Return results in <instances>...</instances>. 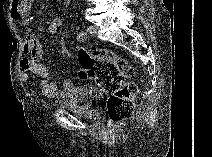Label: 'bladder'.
<instances>
[{"instance_id":"bladder-1","label":"bladder","mask_w":212,"mask_h":157,"mask_svg":"<svg viewBox=\"0 0 212 157\" xmlns=\"http://www.w3.org/2000/svg\"><path fill=\"white\" fill-rule=\"evenodd\" d=\"M104 96V92L95 86H78L60 97L56 107L72 110L88 120H97L100 116L98 104Z\"/></svg>"}]
</instances>
